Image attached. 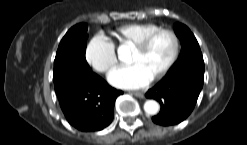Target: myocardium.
<instances>
[{
    "mask_svg": "<svg viewBox=\"0 0 247 145\" xmlns=\"http://www.w3.org/2000/svg\"><path fill=\"white\" fill-rule=\"evenodd\" d=\"M161 34H167L169 35L173 40V51L171 54V57L169 58L168 62L153 76L154 80L160 79L163 76H165L171 68L176 63L179 53H180V39L177 35V33L169 28H159L147 36H145L142 40H140L138 43H136L133 46V49L143 52L145 51L149 45L152 43V41Z\"/></svg>",
    "mask_w": 247,
    "mask_h": 145,
    "instance_id": "obj_1",
    "label": "myocardium"
}]
</instances>
